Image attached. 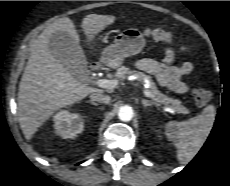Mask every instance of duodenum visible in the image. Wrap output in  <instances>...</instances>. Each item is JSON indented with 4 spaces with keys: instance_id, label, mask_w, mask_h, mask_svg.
Segmentation results:
<instances>
[{
    "instance_id": "1",
    "label": "duodenum",
    "mask_w": 230,
    "mask_h": 186,
    "mask_svg": "<svg viewBox=\"0 0 230 186\" xmlns=\"http://www.w3.org/2000/svg\"><path fill=\"white\" fill-rule=\"evenodd\" d=\"M90 68H91V70H94V71H95V70L98 69V64L93 63V64H91Z\"/></svg>"
}]
</instances>
